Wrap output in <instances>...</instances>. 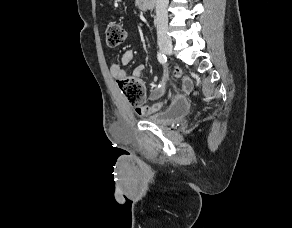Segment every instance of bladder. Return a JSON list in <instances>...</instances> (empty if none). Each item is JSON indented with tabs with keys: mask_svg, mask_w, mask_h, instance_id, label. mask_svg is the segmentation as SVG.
Returning a JSON list of instances; mask_svg holds the SVG:
<instances>
[{
	"mask_svg": "<svg viewBox=\"0 0 292 228\" xmlns=\"http://www.w3.org/2000/svg\"><path fill=\"white\" fill-rule=\"evenodd\" d=\"M190 107L186 100L175 103L167 112L146 117V121L156 125H168L174 123L189 113Z\"/></svg>",
	"mask_w": 292,
	"mask_h": 228,
	"instance_id": "bladder-1",
	"label": "bladder"
}]
</instances>
